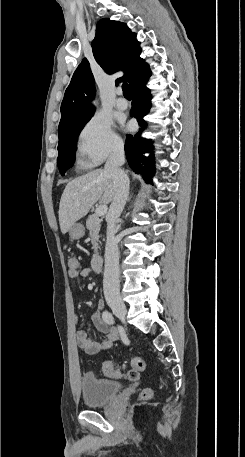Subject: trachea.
Masks as SVG:
<instances>
[{
    "mask_svg": "<svg viewBox=\"0 0 245 457\" xmlns=\"http://www.w3.org/2000/svg\"><path fill=\"white\" fill-rule=\"evenodd\" d=\"M122 90H123L124 97H130L131 98V93H130V90H129L128 83H123L122 84Z\"/></svg>",
    "mask_w": 245,
    "mask_h": 457,
    "instance_id": "1",
    "label": "trachea"
}]
</instances>
